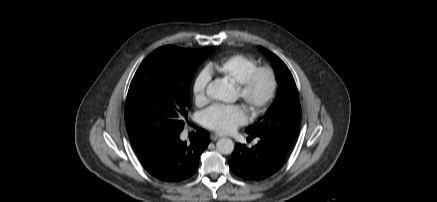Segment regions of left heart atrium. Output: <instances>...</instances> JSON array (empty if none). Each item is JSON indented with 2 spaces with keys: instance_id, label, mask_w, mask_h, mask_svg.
<instances>
[{
  "instance_id": "1",
  "label": "left heart atrium",
  "mask_w": 437,
  "mask_h": 202,
  "mask_svg": "<svg viewBox=\"0 0 437 202\" xmlns=\"http://www.w3.org/2000/svg\"><path fill=\"white\" fill-rule=\"evenodd\" d=\"M246 122L247 111L242 105L212 106L203 113L204 126L220 134L231 133Z\"/></svg>"
}]
</instances>
